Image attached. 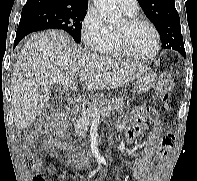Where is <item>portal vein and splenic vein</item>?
<instances>
[{"instance_id":"18ae733b","label":"portal vein and splenic vein","mask_w":197,"mask_h":181,"mask_svg":"<svg viewBox=\"0 0 197 181\" xmlns=\"http://www.w3.org/2000/svg\"><path fill=\"white\" fill-rule=\"evenodd\" d=\"M89 77L87 76V75H85V74H80L79 75V79L81 80V81H85V80H87ZM95 116H99V113L96 111L95 112Z\"/></svg>"}]
</instances>
